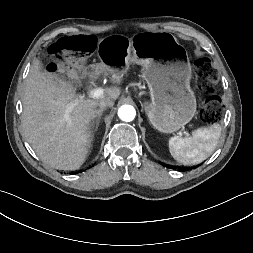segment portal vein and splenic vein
Wrapping results in <instances>:
<instances>
[{
  "mask_svg": "<svg viewBox=\"0 0 253 253\" xmlns=\"http://www.w3.org/2000/svg\"><path fill=\"white\" fill-rule=\"evenodd\" d=\"M103 93H104V91L102 88H96V89H93L89 92V97L94 98V99H98L103 96ZM184 133L186 136L189 135L187 132H184Z\"/></svg>",
  "mask_w": 253,
  "mask_h": 253,
  "instance_id": "1",
  "label": "portal vein and splenic vein"
}]
</instances>
